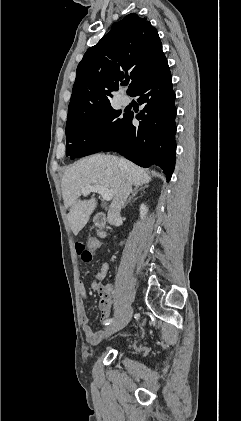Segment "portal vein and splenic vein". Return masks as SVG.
I'll return each instance as SVG.
<instances>
[{
  "label": "portal vein and splenic vein",
  "instance_id": "1",
  "mask_svg": "<svg viewBox=\"0 0 241 421\" xmlns=\"http://www.w3.org/2000/svg\"><path fill=\"white\" fill-rule=\"evenodd\" d=\"M91 192L99 193L106 201H110L113 198V192L101 185H90L81 191L83 195H88Z\"/></svg>",
  "mask_w": 241,
  "mask_h": 421
}]
</instances>
